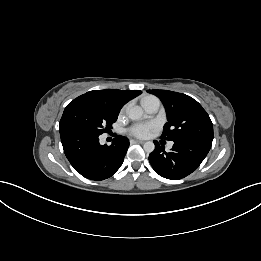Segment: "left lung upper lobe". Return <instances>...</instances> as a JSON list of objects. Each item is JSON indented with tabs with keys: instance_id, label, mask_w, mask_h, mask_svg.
Returning <instances> with one entry per match:
<instances>
[{
	"instance_id": "obj_1",
	"label": "left lung upper lobe",
	"mask_w": 261,
	"mask_h": 261,
	"mask_svg": "<svg viewBox=\"0 0 261 261\" xmlns=\"http://www.w3.org/2000/svg\"><path fill=\"white\" fill-rule=\"evenodd\" d=\"M164 104L168 122L164 125L162 139H182L212 142L213 125L203 107L192 97L168 90H147Z\"/></svg>"
}]
</instances>
